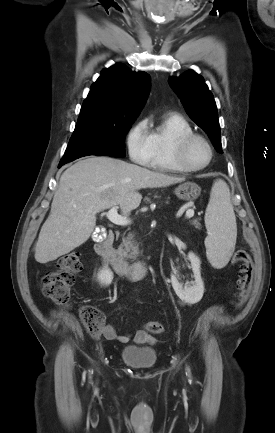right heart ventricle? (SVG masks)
<instances>
[{"label":"right heart ventricle","mask_w":275,"mask_h":433,"mask_svg":"<svg viewBox=\"0 0 275 433\" xmlns=\"http://www.w3.org/2000/svg\"><path fill=\"white\" fill-rule=\"evenodd\" d=\"M193 132L191 124L180 114L167 113L149 129L151 155L148 166L169 172H183L175 162L177 140Z\"/></svg>","instance_id":"e07e8e85"}]
</instances>
